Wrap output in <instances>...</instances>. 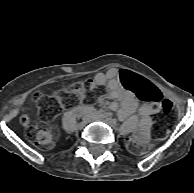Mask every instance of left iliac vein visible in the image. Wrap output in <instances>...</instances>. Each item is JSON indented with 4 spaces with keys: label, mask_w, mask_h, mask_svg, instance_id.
I'll return each mask as SVG.
<instances>
[{
    "label": "left iliac vein",
    "mask_w": 194,
    "mask_h": 193,
    "mask_svg": "<svg viewBox=\"0 0 194 193\" xmlns=\"http://www.w3.org/2000/svg\"><path fill=\"white\" fill-rule=\"evenodd\" d=\"M93 120H98V118H94ZM104 122H105L106 124H108L109 126H111V127H116V126H117V121L114 120V119H112V118H106V119L104 120Z\"/></svg>",
    "instance_id": "obj_1"
}]
</instances>
